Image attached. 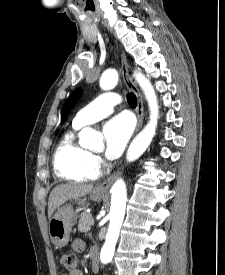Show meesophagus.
I'll use <instances>...</instances> for the list:
<instances>
[{
  "instance_id": "34e87169",
  "label": "esophagus",
  "mask_w": 225,
  "mask_h": 275,
  "mask_svg": "<svg viewBox=\"0 0 225 275\" xmlns=\"http://www.w3.org/2000/svg\"><path fill=\"white\" fill-rule=\"evenodd\" d=\"M121 64H122V77L126 84V86L134 92V94L137 97V108H136V114H137V126L135 132H138L139 129L142 126L143 119H144V105H143V98L138 90L136 84L132 81L130 74H129V65L127 62L126 55L124 53L121 54ZM119 175V172L111 175L109 178H107L105 181L100 183L97 186V189H108L112 183L115 181L117 176Z\"/></svg>"
}]
</instances>
